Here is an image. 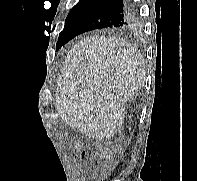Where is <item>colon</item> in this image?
<instances>
[{
  "instance_id": "obj_1",
  "label": "colon",
  "mask_w": 197,
  "mask_h": 181,
  "mask_svg": "<svg viewBox=\"0 0 197 181\" xmlns=\"http://www.w3.org/2000/svg\"><path fill=\"white\" fill-rule=\"evenodd\" d=\"M113 168V160L111 156L104 152L99 156V159L95 162V173L98 176L106 175Z\"/></svg>"
}]
</instances>
